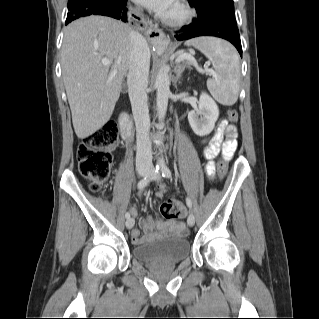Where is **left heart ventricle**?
Instances as JSON below:
<instances>
[{
    "label": "left heart ventricle",
    "instance_id": "1",
    "mask_svg": "<svg viewBox=\"0 0 319 319\" xmlns=\"http://www.w3.org/2000/svg\"><path fill=\"white\" fill-rule=\"evenodd\" d=\"M177 13H178V9H177V5H176V1H174L171 8L166 13V16H172V15H175Z\"/></svg>",
    "mask_w": 319,
    "mask_h": 319
}]
</instances>
